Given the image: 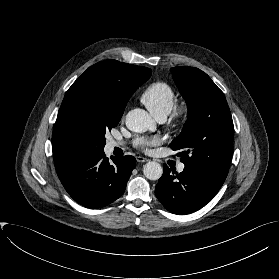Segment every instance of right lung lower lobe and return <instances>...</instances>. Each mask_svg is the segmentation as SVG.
Segmentation results:
<instances>
[{"label":"right lung lower lobe","mask_w":279,"mask_h":279,"mask_svg":"<svg viewBox=\"0 0 279 279\" xmlns=\"http://www.w3.org/2000/svg\"><path fill=\"white\" fill-rule=\"evenodd\" d=\"M104 151L55 165L57 175L69 195L87 208L105 207L124 192L135 167L133 156L112 157Z\"/></svg>","instance_id":"right-lung-lower-lobe-1"}]
</instances>
